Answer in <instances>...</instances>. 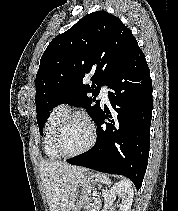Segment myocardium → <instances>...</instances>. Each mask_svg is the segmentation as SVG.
Returning <instances> with one entry per match:
<instances>
[{
	"instance_id": "1",
	"label": "myocardium",
	"mask_w": 178,
	"mask_h": 211,
	"mask_svg": "<svg viewBox=\"0 0 178 211\" xmlns=\"http://www.w3.org/2000/svg\"><path fill=\"white\" fill-rule=\"evenodd\" d=\"M73 118L82 119L83 121H85L87 123V125L89 127L90 138H89L88 143L86 144V146L83 149H81L80 151L75 152V153L67 154V153H63L60 150L59 137H60L62 130L64 129V127L68 123V121L73 119ZM95 141H96V126H95V123L93 122V120L88 115H86L82 112L71 111V112H68L64 116V118L61 120V122L59 123V125H58V127L55 131V134H54L53 145H54L55 151L57 152V154L60 157H62V158H72V157L82 155V154L86 153L87 151H89L93 147Z\"/></svg>"
}]
</instances>
